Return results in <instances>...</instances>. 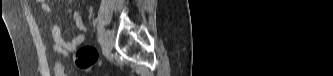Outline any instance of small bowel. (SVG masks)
I'll use <instances>...</instances> for the list:
<instances>
[{"label": "small bowel", "instance_id": "small-bowel-1", "mask_svg": "<svg viewBox=\"0 0 333 76\" xmlns=\"http://www.w3.org/2000/svg\"><path fill=\"white\" fill-rule=\"evenodd\" d=\"M39 7L47 12L52 13L53 9L47 0H37ZM72 19L78 28V34L70 40H65L60 26L57 23L52 24L51 33L53 37L52 49L61 56H68L74 52L86 40L87 29L82 20V14L79 10H74ZM55 76H65V70L62 64L56 63L54 65Z\"/></svg>", "mask_w": 333, "mask_h": 76}]
</instances>
